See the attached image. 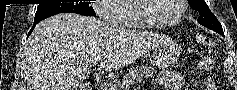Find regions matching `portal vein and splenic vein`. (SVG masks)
<instances>
[{
    "instance_id": "18ae733b",
    "label": "portal vein and splenic vein",
    "mask_w": 237,
    "mask_h": 90,
    "mask_svg": "<svg viewBox=\"0 0 237 90\" xmlns=\"http://www.w3.org/2000/svg\"><path fill=\"white\" fill-rule=\"evenodd\" d=\"M93 66H96L97 62H92Z\"/></svg>"
}]
</instances>
